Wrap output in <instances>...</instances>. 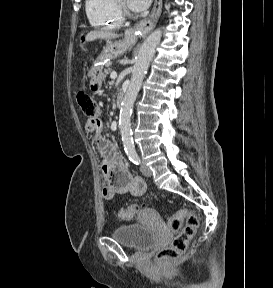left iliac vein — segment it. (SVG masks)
<instances>
[{
  "instance_id": "left-iliac-vein-1",
  "label": "left iliac vein",
  "mask_w": 273,
  "mask_h": 288,
  "mask_svg": "<svg viewBox=\"0 0 273 288\" xmlns=\"http://www.w3.org/2000/svg\"><path fill=\"white\" fill-rule=\"evenodd\" d=\"M140 170L145 177H150L152 175L150 168L145 165H141Z\"/></svg>"
}]
</instances>
